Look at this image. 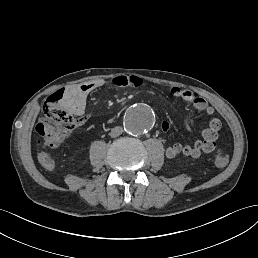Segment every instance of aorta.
<instances>
[{"label": "aorta", "mask_w": 258, "mask_h": 258, "mask_svg": "<svg viewBox=\"0 0 258 258\" xmlns=\"http://www.w3.org/2000/svg\"><path fill=\"white\" fill-rule=\"evenodd\" d=\"M155 123V116L149 106L139 104L131 107L125 114V130L133 135H140L149 130Z\"/></svg>", "instance_id": "aorta-1"}]
</instances>
